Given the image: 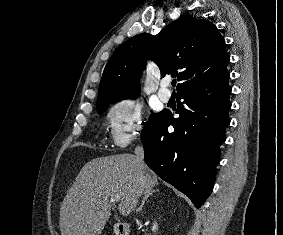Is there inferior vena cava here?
I'll list each match as a JSON object with an SVG mask.
<instances>
[{
  "label": "inferior vena cava",
  "mask_w": 283,
  "mask_h": 235,
  "mask_svg": "<svg viewBox=\"0 0 283 235\" xmlns=\"http://www.w3.org/2000/svg\"><path fill=\"white\" fill-rule=\"evenodd\" d=\"M135 158H136V162L139 165L140 168L144 167V149L143 146H137L135 148Z\"/></svg>",
  "instance_id": "inferior-vena-cava-1"
}]
</instances>
